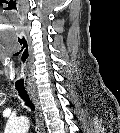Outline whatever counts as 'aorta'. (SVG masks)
I'll return each mask as SVG.
<instances>
[{
  "mask_svg": "<svg viewBox=\"0 0 120 133\" xmlns=\"http://www.w3.org/2000/svg\"><path fill=\"white\" fill-rule=\"evenodd\" d=\"M28 120L25 118H19L15 121L10 122L7 125L8 133H21L28 130Z\"/></svg>",
  "mask_w": 120,
  "mask_h": 133,
  "instance_id": "obj_1",
  "label": "aorta"
}]
</instances>
